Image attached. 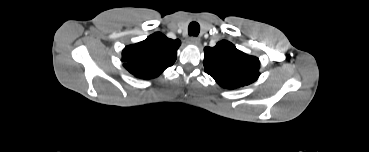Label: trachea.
I'll return each mask as SVG.
<instances>
[{"instance_id":"3493384b","label":"trachea","mask_w":369,"mask_h":152,"mask_svg":"<svg viewBox=\"0 0 369 152\" xmlns=\"http://www.w3.org/2000/svg\"><path fill=\"white\" fill-rule=\"evenodd\" d=\"M200 32V26L197 22H191L188 27V33L190 36H198Z\"/></svg>"}]
</instances>
